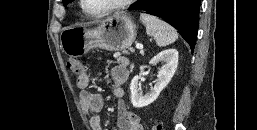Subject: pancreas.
<instances>
[{
  "label": "pancreas",
  "instance_id": "1",
  "mask_svg": "<svg viewBox=\"0 0 257 130\" xmlns=\"http://www.w3.org/2000/svg\"><path fill=\"white\" fill-rule=\"evenodd\" d=\"M123 53H124V54H128V51H127V50H124Z\"/></svg>",
  "mask_w": 257,
  "mask_h": 130
}]
</instances>
